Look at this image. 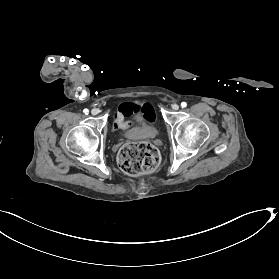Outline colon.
Returning <instances> with one entry per match:
<instances>
[{
    "label": "colon",
    "mask_w": 279,
    "mask_h": 279,
    "mask_svg": "<svg viewBox=\"0 0 279 279\" xmlns=\"http://www.w3.org/2000/svg\"><path fill=\"white\" fill-rule=\"evenodd\" d=\"M159 162L158 152L147 142L129 143L119 151L118 163L128 175L138 176L153 171Z\"/></svg>",
    "instance_id": "colon-1"
}]
</instances>
